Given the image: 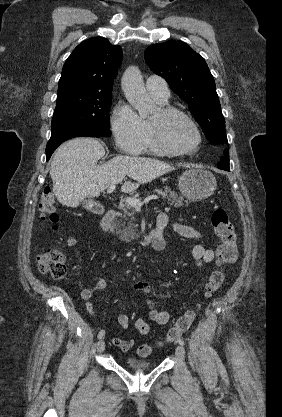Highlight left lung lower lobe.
<instances>
[{"label":"left lung lower lobe","mask_w":282,"mask_h":417,"mask_svg":"<svg viewBox=\"0 0 282 417\" xmlns=\"http://www.w3.org/2000/svg\"><path fill=\"white\" fill-rule=\"evenodd\" d=\"M221 149H224V157L221 159V161L218 164V167L223 170L229 171V155H228V149L226 146L220 147Z\"/></svg>","instance_id":"left-lung-lower-lobe-1"}]
</instances>
